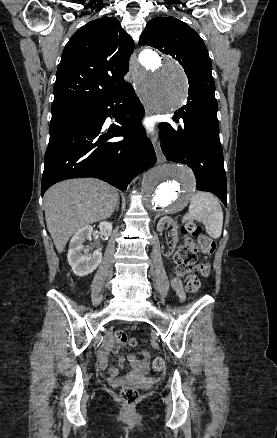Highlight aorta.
<instances>
[{
	"label": "aorta",
	"instance_id": "1",
	"mask_svg": "<svg viewBox=\"0 0 277 438\" xmlns=\"http://www.w3.org/2000/svg\"><path fill=\"white\" fill-rule=\"evenodd\" d=\"M137 92L156 113H169L181 107L187 97V80L182 67L171 57L152 50L139 55L133 70ZM195 190L192 171L180 164L166 163L148 171L141 195L147 211L154 217L181 211Z\"/></svg>",
	"mask_w": 277,
	"mask_h": 438
}]
</instances>
